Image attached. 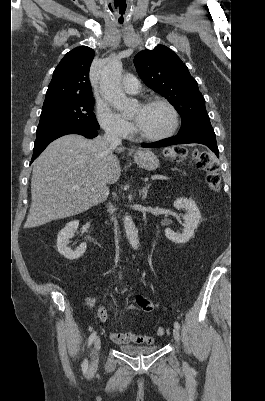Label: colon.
<instances>
[{
  "label": "colon",
  "mask_w": 265,
  "mask_h": 401,
  "mask_svg": "<svg viewBox=\"0 0 265 401\" xmlns=\"http://www.w3.org/2000/svg\"><path fill=\"white\" fill-rule=\"evenodd\" d=\"M164 156L171 161H182L188 156V152L183 147H170L164 151ZM193 157L199 168L206 171V183L210 190L219 191L221 186V176L216 165L210 160L206 152L195 151ZM145 308V306H144ZM157 334L162 336L165 334V329L159 327Z\"/></svg>",
  "instance_id": "1"
}]
</instances>
